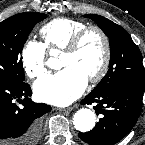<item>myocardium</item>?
Wrapping results in <instances>:
<instances>
[{
	"label": "myocardium",
	"mask_w": 145,
	"mask_h": 145,
	"mask_svg": "<svg viewBox=\"0 0 145 145\" xmlns=\"http://www.w3.org/2000/svg\"><path fill=\"white\" fill-rule=\"evenodd\" d=\"M91 32L96 33L103 44V59L101 66L97 73L92 77L88 78L90 83L100 82L107 74L111 62V45L107 34L96 25H89L80 29L74 36L70 39L66 47L63 49V53H74L80 47L84 38Z\"/></svg>",
	"instance_id": "f54148a6"
}]
</instances>
